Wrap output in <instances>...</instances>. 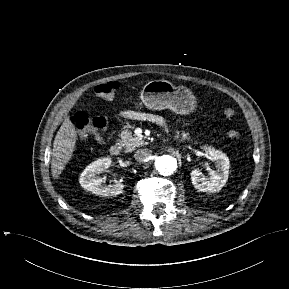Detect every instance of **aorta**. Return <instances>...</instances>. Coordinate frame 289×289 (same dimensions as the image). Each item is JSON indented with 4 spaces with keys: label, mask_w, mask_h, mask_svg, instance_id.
I'll return each instance as SVG.
<instances>
[{
    "label": "aorta",
    "mask_w": 289,
    "mask_h": 289,
    "mask_svg": "<svg viewBox=\"0 0 289 289\" xmlns=\"http://www.w3.org/2000/svg\"><path fill=\"white\" fill-rule=\"evenodd\" d=\"M155 167L161 175H171L177 169V159L170 155H162L156 159Z\"/></svg>",
    "instance_id": "obj_1"
}]
</instances>
